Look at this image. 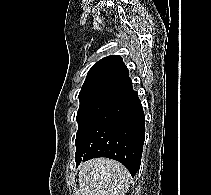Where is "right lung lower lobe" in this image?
Wrapping results in <instances>:
<instances>
[{
	"mask_svg": "<svg viewBox=\"0 0 211 195\" xmlns=\"http://www.w3.org/2000/svg\"><path fill=\"white\" fill-rule=\"evenodd\" d=\"M145 117L132 84L117 90L76 148V165L97 157L122 163L132 177L140 168Z\"/></svg>",
	"mask_w": 211,
	"mask_h": 195,
	"instance_id": "obj_1",
	"label": "right lung lower lobe"
}]
</instances>
